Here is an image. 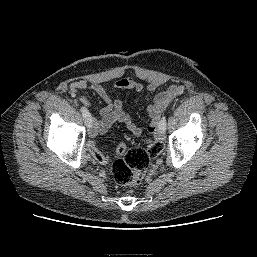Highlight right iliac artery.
I'll return each mask as SVG.
<instances>
[{
    "instance_id": "right-iliac-artery-1",
    "label": "right iliac artery",
    "mask_w": 257,
    "mask_h": 257,
    "mask_svg": "<svg viewBox=\"0 0 257 257\" xmlns=\"http://www.w3.org/2000/svg\"><path fill=\"white\" fill-rule=\"evenodd\" d=\"M80 111L82 113V116H83V118L85 120L86 125L88 127H91L92 126V120H91L92 117H91V114L89 113L88 109L86 107L82 106L80 108Z\"/></svg>"
}]
</instances>
